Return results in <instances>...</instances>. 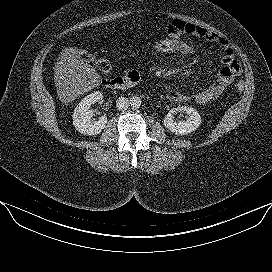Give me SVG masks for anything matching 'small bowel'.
<instances>
[{
	"mask_svg": "<svg viewBox=\"0 0 272 272\" xmlns=\"http://www.w3.org/2000/svg\"><path fill=\"white\" fill-rule=\"evenodd\" d=\"M186 35L217 44L222 50L221 62L223 67L218 72L216 80L207 88L197 92L193 97L176 90L169 91L168 97L175 103H186L193 98L198 104H208L218 99L233 80L240 75L241 65L236 59L232 46L220 35L204 27L181 20L172 21L167 28V36L184 41L190 53H192L194 51L193 45L183 39Z\"/></svg>",
	"mask_w": 272,
	"mask_h": 272,
	"instance_id": "obj_1",
	"label": "small bowel"
}]
</instances>
